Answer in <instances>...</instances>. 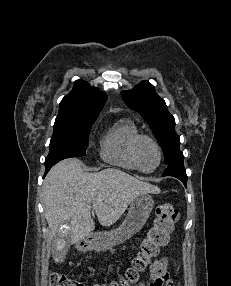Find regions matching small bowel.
<instances>
[{"label":"small bowel","mask_w":231,"mask_h":286,"mask_svg":"<svg viewBox=\"0 0 231 286\" xmlns=\"http://www.w3.org/2000/svg\"><path fill=\"white\" fill-rule=\"evenodd\" d=\"M171 262H174L171 257H161L155 259L150 264V275L147 281L141 282L138 286H174V281L167 271ZM100 270H97V275Z\"/></svg>","instance_id":"obj_1"}]
</instances>
